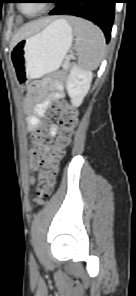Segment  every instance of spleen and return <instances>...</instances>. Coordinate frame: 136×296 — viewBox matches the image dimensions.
<instances>
[{"instance_id":"3e777b00","label":"spleen","mask_w":136,"mask_h":296,"mask_svg":"<svg viewBox=\"0 0 136 296\" xmlns=\"http://www.w3.org/2000/svg\"><path fill=\"white\" fill-rule=\"evenodd\" d=\"M76 36V52L78 64L88 70L97 68L105 53L103 32L93 23L84 19L69 17Z\"/></svg>"}]
</instances>
